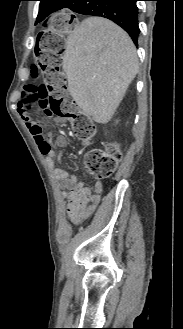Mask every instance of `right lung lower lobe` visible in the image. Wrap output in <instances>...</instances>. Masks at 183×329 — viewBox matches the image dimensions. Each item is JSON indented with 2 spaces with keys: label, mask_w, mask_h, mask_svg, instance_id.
I'll return each mask as SVG.
<instances>
[{
  "label": "right lung lower lobe",
  "mask_w": 183,
  "mask_h": 329,
  "mask_svg": "<svg viewBox=\"0 0 183 329\" xmlns=\"http://www.w3.org/2000/svg\"><path fill=\"white\" fill-rule=\"evenodd\" d=\"M138 0H69L72 11L108 18L122 27L137 45L139 36Z\"/></svg>",
  "instance_id": "right-lung-lower-lobe-1"
}]
</instances>
